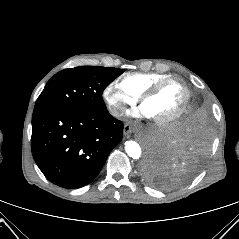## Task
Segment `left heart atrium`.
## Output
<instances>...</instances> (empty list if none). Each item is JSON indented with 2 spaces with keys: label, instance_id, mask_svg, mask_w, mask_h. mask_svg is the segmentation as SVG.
I'll use <instances>...</instances> for the list:
<instances>
[{
  "label": "left heart atrium",
  "instance_id": "39dd6f15",
  "mask_svg": "<svg viewBox=\"0 0 239 239\" xmlns=\"http://www.w3.org/2000/svg\"><path fill=\"white\" fill-rule=\"evenodd\" d=\"M132 116L139 117H149L143 106H140L139 108H134L129 112Z\"/></svg>",
  "mask_w": 239,
  "mask_h": 239
}]
</instances>
